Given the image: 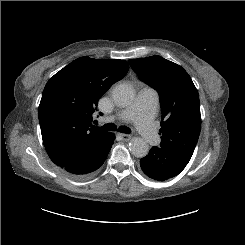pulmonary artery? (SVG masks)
Masks as SVG:
<instances>
[{
	"instance_id": "1",
	"label": "pulmonary artery",
	"mask_w": 245,
	"mask_h": 245,
	"mask_svg": "<svg viewBox=\"0 0 245 245\" xmlns=\"http://www.w3.org/2000/svg\"><path fill=\"white\" fill-rule=\"evenodd\" d=\"M158 103L157 91L152 87L145 86L129 106L119 110L109 120H119L124 123L134 122L140 130L143 140L154 145L158 141V134L153 123Z\"/></svg>"
}]
</instances>
